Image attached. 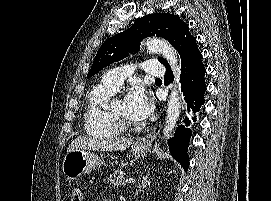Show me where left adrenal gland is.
I'll use <instances>...</instances> for the list:
<instances>
[{
    "label": "left adrenal gland",
    "instance_id": "a2214340",
    "mask_svg": "<svg viewBox=\"0 0 271 201\" xmlns=\"http://www.w3.org/2000/svg\"><path fill=\"white\" fill-rule=\"evenodd\" d=\"M150 174H147L142 178L141 184L138 185V189L135 192L134 198L141 192L144 188H146L150 184V179H148Z\"/></svg>",
    "mask_w": 271,
    "mask_h": 201
}]
</instances>
